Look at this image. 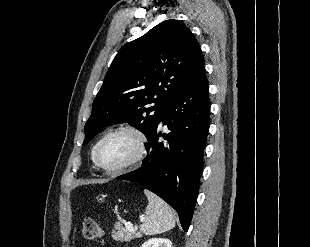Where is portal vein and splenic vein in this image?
I'll list each match as a JSON object with an SVG mask.
<instances>
[{
    "label": "portal vein and splenic vein",
    "mask_w": 310,
    "mask_h": 247,
    "mask_svg": "<svg viewBox=\"0 0 310 247\" xmlns=\"http://www.w3.org/2000/svg\"><path fill=\"white\" fill-rule=\"evenodd\" d=\"M125 227H126V229L129 230V231H133V230H134L133 224H131L130 222L126 223V224H125Z\"/></svg>",
    "instance_id": "18ae733b"
}]
</instances>
